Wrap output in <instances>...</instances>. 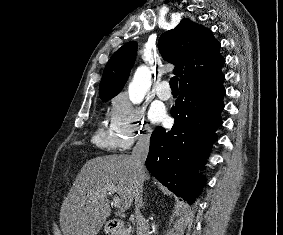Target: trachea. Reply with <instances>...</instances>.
Masks as SVG:
<instances>
[{
	"mask_svg": "<svg viewBox=\"0 0 283 235\" xmlns=\"http://www.w3.org/2000/svg\"><path fill=\"white\" fill-rule=\"evenodd\" d=\"M169 83L172 90H178V77H172Z\"/></svg>",
	"mask_w": 283,
	"mask_h": 235,
	"instance_id": "trachea-1",
	"label": "trachea"
}]
</instances>
